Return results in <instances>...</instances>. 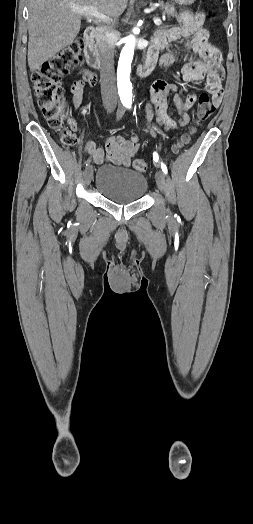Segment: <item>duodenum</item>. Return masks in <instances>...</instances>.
I'll return each instance as SVG.
<instances>
[{
	"label": "duodenum",
	"instance_id": "obj_1",
	"mask_svg": "<svg viewBox=\"0 0 253 524\" xmlns=\"http://www.w3.org/2000/svg\"><path fill=\"white\" fill-rule=\"evenodd\" d=\"M96 29L93 26L86 28L83 38L85 43L84 56L88 65L94 69H100L102 66L101 58L98 49L95 45ZM153 69V65L149 62L140 63L137 66V73L140 76H145Z\"/></svg>",
	"mask_w": 253,
	"mask_h": 524
}]
</instances>
